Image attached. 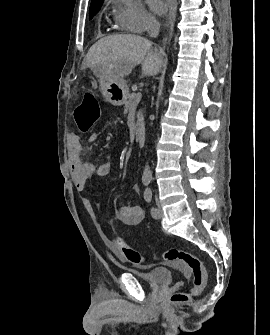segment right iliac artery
<instances>
[{"mask_svg":"<svg viewBox=\"0 0 270 335\" xmlns=\"http://www.w3.org/2000/svg\"><path fill=\"white\" fill-rule=\"evenodd\" d=\"M149 182H150V181H149L148 179H144V180H143V184H144L145 186H147V185L149 184Z\"/></svg>","mask_w":270,"mask_h":335,"instance_id":"right-iliac-artery-1","label":"right iliac artery"}]
</instances>
